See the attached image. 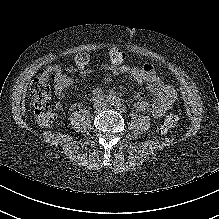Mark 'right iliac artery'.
<instances>
[{"mask_svg":"<svg viewBox=\"0 0 219 219\" xmlns=\"http://www.w3.org/2000/svg\"><path fill=\"white\" fill-rule=\"evenodd\" d=\"M109 104H111V105H114L115 104V101H116V99L114 98V97H108L107 98V100H106Z\"/></svg>","mask_w":219,"mask_h":219,"instance_id":"obj_1","label":"right iliac artery"}]
</instances>
